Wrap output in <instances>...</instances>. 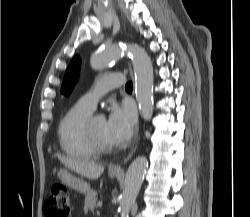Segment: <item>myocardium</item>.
<instances>
[{
  "mask_svg": "<svg viewBox=\"0 0 250 217\" xmlns=\"http://www.w3.org/2000/svg\"><path fill=\"white\" fill-rule=\"evenodd\" d=\"M96 115L91 114L84 122V132L86 135V138L90 145L94 148L96 153H107L111 152L113 150V146L107 145L104 142H102L98 136L96 135L94 128H93V121Z\"/></svg>",
  "mask_w": 250,
  "mask_h": 217,
  "instance_id": "f54148a6",
  "label": "myocardium"
}]
</instances>
